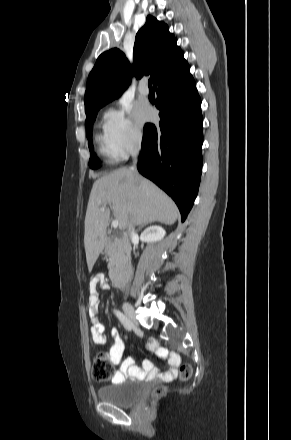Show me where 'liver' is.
I'll use <instances>...</instances> for the list:
<instances>
[{"mask_svg": "<svg viewBox=\"0 0 291 440\" xmlns=\"http://www.w3.org/2000/svg\"><path fill=\"white\" fill-rule=\"evenodd\" d=\"M106 205L112 206L121 230L128 228L130 222L137 226L156 221L171 225L179 215L166 193L132 169L121 168L97 179L85 217L84 245L89 271L106 243L110 211H101Z\"/></svg>", "mask_w": 291, "mask_h": 440, "instance_id": "1", "label": "liver"}]
</instances>
